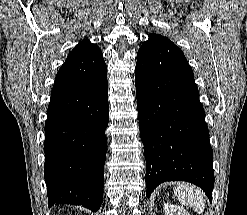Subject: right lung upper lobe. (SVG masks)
<instances>
[{
	"label": "right lung upper lobe",
	"mask_w": 247,
	"mask_h": 215,
	"mask_svg": "<svg viewBox=\"0 0 247 215\" xmlns=\"http://www.w3.org/2000/svg\"><path fill=\"white\" fill-rule=\"evenodd\" d=\"M99 49L95 44L90 43L89 40L79 42L68 56L84 54L90 51Z\"/></svg>",
	"instance_id": "right-lung-upper-lobe-1"
}]
</instances>
